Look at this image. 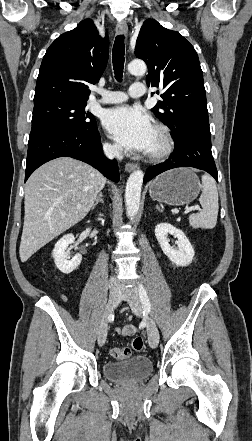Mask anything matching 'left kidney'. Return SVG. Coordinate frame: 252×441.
Here are the masks:
<instances>
[{"label": "left kidney", "mask_w": 252, "mask_h": 441, "mask_svg": "<svg viewBox=\"0 0 252 441\" xmlns=\"http://www.w3.org/2000/svg\"><path fill=\"white\" fill-rule=\"evenodd\" d=\"M168 234L177 238L178 248H174L169 244ZM156 239L163 251V253L176 265L187 266L194 257V249L185 236V234L168 223H160L155 227Z\"/></svg>", "instance_id": "1"}]
</instances>
